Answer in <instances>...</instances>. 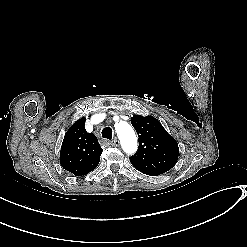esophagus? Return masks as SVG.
<instances>
[{"label":"esophagus","instance_id":"1","mask_svg":"<svg viewBox=\"0 0 247 247\" xmlns=\"http://www.w3.org/2000/svg\"><path fill=\"white\" fill-rule=\"evenodd\" d=\"M112 146H118L119 145V140L115 139L111 142Z\"/></svg>","mask_w":247,"mask_h":247}]
</instances>
